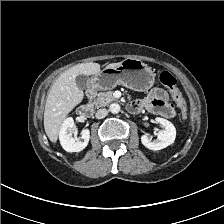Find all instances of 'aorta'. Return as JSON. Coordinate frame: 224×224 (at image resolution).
I'll use <instances>...</instances> for the list:
<instances>
[{"instance_id":"obj_1","label":"aorta","mask_w":224,"mask_h":224,"mask_svg":"<svg viewBox=\"0 0 224 224\" xmlns=\"http://www.w3.org/2000/svg\"><path fill=\"white\" fill-rule=\"evenodd\" d=\"M109 110L113 114H117L120 111V105L117 103H113L110 105Z\"/></svg>"}]
</instances>
